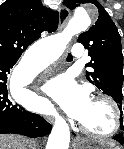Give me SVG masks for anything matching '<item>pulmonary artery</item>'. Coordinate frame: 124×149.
<instances>
[{
	"label": "pulmonary artery",
	"mask_w": 124,
	"mask_h": 149,
	"mask_svg": "<svg viewBox=\"0 0 124 149\" xmlns=\"http://www.w3.org/2000/svg\"><path fill=\"white\" fill-rule=\"evenodd\" d=\"M71 53L76 59H83L85 55L84 45L81 43H77L72 47Z\"/></svg>",
	"instance_id": "obj_1"
}]
</instances>
